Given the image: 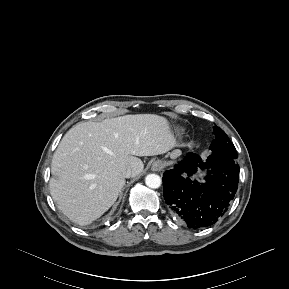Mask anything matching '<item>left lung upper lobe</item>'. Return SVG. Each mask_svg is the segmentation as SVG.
Instances as JSON below:
<instances>
[{"label":"left lung upper lobe","mask_w":289,"mask_h":289,"mask_svg":"<svg viewBox=\"0 0 289 289\" xmlns=\"http://www.w3.org/2000/svg\"><path fill=\"white\" fill-rule=\"evenodd\" d=\"M213 130L215 139L209 147L212 152L210 157L220 162L235 160L237 158V152L234 144L229 140L221 128L214 126Z\"/></svg>","instance_id":"5c2ea615"}]
</instances>
